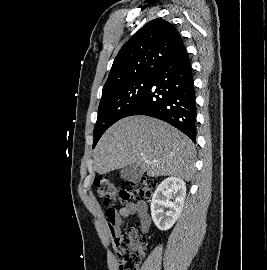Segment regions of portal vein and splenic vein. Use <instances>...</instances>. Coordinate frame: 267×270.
<instances>
[{
    "mask_svg": "<svg viewBox=\"0 0 267 270\" xmlns=\"http://www.w3.org/2000/svg\"><path fill=\"white\" fill-rule=\"evenodd\" d=\"M145 160L146 163H150L148 160H146V158H143Z\"/></svg>",
    "mask_w": 267,
    "mask_h": 270,
    "instance_id": "obj_1",
    "label": "portal vein and splenic vein"
}]
</instances>
